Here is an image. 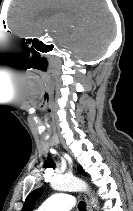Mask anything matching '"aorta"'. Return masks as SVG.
Instances as JSON below:
<instances>
[{"instance_id": "762f6f07", "label": "aorta", "mask_w": 133, "mask_h": 211, "mask_svg": "<svg viewBox=\"0 0 133 211\" xmlns=\"http://www.w3.org/2000/svg\"><path fill=\"white\" fill-rule=\"evenodd\" d=\"M51 187L57 191H83L90 194L88 185L81 179L70 175H59L52 179ZM91 204L97 207V199L91 196Z\"/></svg>"}]
</instances>
